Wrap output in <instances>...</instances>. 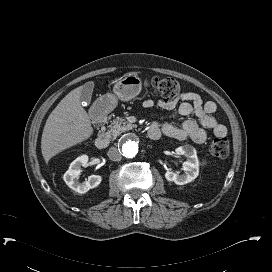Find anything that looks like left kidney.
I'll return each mask as SVG.
<instances>
[{
  "label": "left kidney",
  "mask_w": 272,
  "mask_h": 272,
  "mask_svg": "<svg viewBox=\"0 0 272 272\" xmlns=\"http://www.w3.org/2000/svg\"><path fill=\"white\" fill-rule=\"evenodd\" d=\"M175 152L177 155H183L187 158V161L183 163L185 173L180 175L179 173L168 170L165 173V178L177 185L192 182L199 174V161L195 148L191 145L180 146L176 148Z\"/></svg>",
  "instance_id": "5707ae66"
}]
</instances>
